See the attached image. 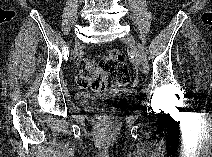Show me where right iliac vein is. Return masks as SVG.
<instances>
[{
	"mask_svg": "<svg viewBox=\"0 0 212 157\" xmlns=\"http://www.w3.org/2000/svg\"><path fill=\"white\" fill-rule=\"evenodd\" d=\"M79 49H80V43L77 41L75 45V55H77Z\"/></svg>",
	"mask_w": 212,
	"mask_h": 157,
	"instance_id": "right-iliac-vein-1",
	"label": "right iliac vein"
}]
</instances>
